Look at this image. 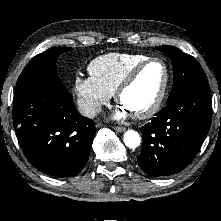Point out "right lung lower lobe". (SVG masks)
Returning a JSON list of instances; mask_svg holds the SVG:
<instances>
[{"instance_id":"obj_1","label":"right lung lower lobe","mask_w":221,"mask_h":221,"mask_svg":"<svg viewBox=\"0 0 221 221\" xmlns=\"http://www.w3.org/2000/svg\"><path fill=\"white\" fill-rule=\"evenodd\" d=\"M13 125L21 148L38 170L76 176L85 166L97 128L76 110L69 92L39 90L13 102Z\"/></svg>"}]
</instances>
